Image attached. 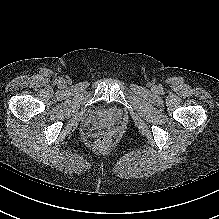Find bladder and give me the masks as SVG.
Instances as JSON below:
<instances>
[{
	"mask_svg": "<svg viewBox=\"0 0 219 219\" xmlns=\"http://www.w3.org/2000/svg\"><path fill=\"white\" fill-rule=\"evenodd\" d=\"M121 117V111L118 108L99 107L93 110L90 121L93 124L105 121H117Z\"/></svg>",
	"mask_w": 219,
	"mask_h": 219,
	"instance_id": "1",
	"label": "bladder"
}]
</instances>
